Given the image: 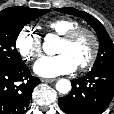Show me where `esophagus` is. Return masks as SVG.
I'll list each match as a JSON object with an SVG mask.
<instances>
[{
	"label": "esophagus",
	"mask_w": 114,
	"mask_h": 114,
	"mask_svg": "<svg viewBox=\"0 0 114 114\" xmlns=\"http://www.w3.org/2000/svg\"><path fill=\"white\" fill-rule=\"evenodd\" d=\"M55 80L56 79H51V78H41V82H43V83H52Z\"/></svg>",
	"instance_id": "esophagus-1"
}]
</instances>
